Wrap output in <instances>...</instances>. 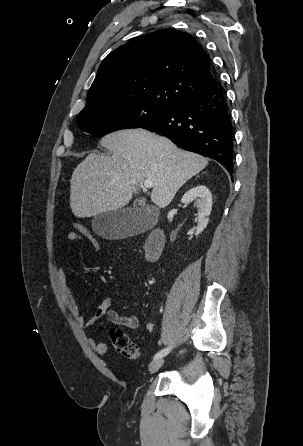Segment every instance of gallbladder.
Listing matches in <instances>:
<instances>
[{"label": "gallbladder", "mask_w": 303, "mask_h": 446, "mask_svg": "<svg viewBox=\"0 0 303 446\" xmlns=\"http://www.w3.org/2000/svg\"><path fill=\"white\" fill-rule=\"evenodd\" d=\"M150 215L139 207L120 208L97 215L92 221V229L106 239L124 237L148 227Z\"/></svg>", "instance_id": "gallbladder-1"}]
</instances>
